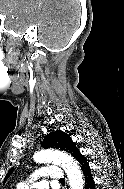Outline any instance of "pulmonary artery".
Listing matches in <instances>:
<instances>
[{"label": "pulmonary artery", "mask_w": 124, "mask_h": 189, "mask_svg": "<svg viewBox=\"0 0 124 189\" xmlns=\"http://www.w3.org/2000/svg\"><path fill=\"white\" fill-rule=\"evenodd\" d=\"M38 177H46L53 181H59L61 178H63V173L59 167H55V166L42 168L36 171L32 175L31 179L19 183L18 189H28L29 184Z\"/></svg>", "instance_id": "1"}]
</instances>
